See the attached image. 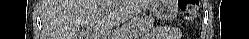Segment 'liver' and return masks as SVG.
<instances>
[{
  "instance_id": "liver-1",
  "label": "liver",
  "mask_w": 249,
  "mask_h": 39,
  "mask_svg": "<svg viewBox=\"0 0 249 39\" xmlns=\"http://www.w3.org/2000/svg\"><path fill=\"white\" fill-rule=\"evenodd\" d=\"M156 0H46L43 28L48 39H103L114 26L140 14ZM93 29L88 35L86 30ZM90 37V38H88Z\"/></svg>"
}]
</instances>
